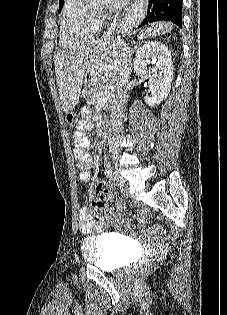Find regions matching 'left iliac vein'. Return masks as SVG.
<instances>
[{
	"label": "left iliac vein",
	"mask_w": 227,
	"mask_h": 315,
	"mask_svg": "<svg viewBox=\"0 0 227 315\" xmlns=\"http://www.w3.org/2000/svg\"><path fill=\"white\" fill-rule=\"evenodd\" d=\"M123 184H124V181L122 180V178L117 176L116 185L117 186H122Z\"/></svg>",
	"instance_id": "obj_1"
}]
</instances>
